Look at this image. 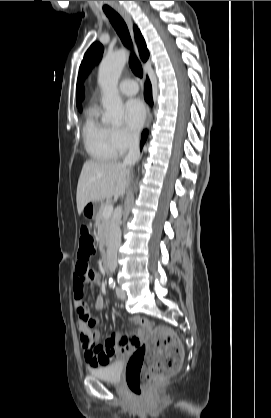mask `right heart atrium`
Segmentation results:
<instances>
[{"label": "right heart atrium", "instance_id": "d8ad5b80", "mask_svg": "<svg viewBox=\"0 0 271 418\" xmlns=\"http://www.w3.org/2000/svg\"><path fill=\"white\" fill-rule=\"evenodd\" d=\"M111 136L113 146L118 154L130 151L137 142L136 135L124 127L112 128Z\"/></svg>", "mask_w": 271, "mask_h": 418}]
</instances>
